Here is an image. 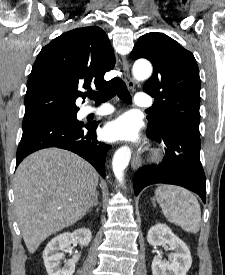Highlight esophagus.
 Here are the masks:
<instances>
[{"label": "esophagus", "mask_w": 225, "mask_h": 275, "mask_svg": "<svg viewBox=\"0 0 225 275\" xmlns=\"http://www.w3.org/2000/svg\"><path fill=\"white\" fill-rule=\"evenodd\" d=\"M123 74L126 81L127 86L130 89H133L135 86V82L130 74V65L126 58L123 60ZM131 166L134 170H137L141 166V158L140 156L135 153L132 158Z\"/></svg>", "instance_id": "esophagus-1"}]
</instances>
